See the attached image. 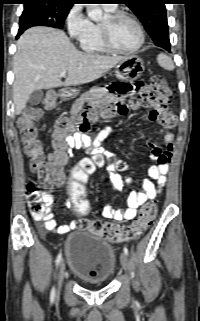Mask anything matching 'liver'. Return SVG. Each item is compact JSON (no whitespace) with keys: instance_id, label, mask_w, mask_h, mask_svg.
Listing matches in <instances>:
<instances>
[{"instance_id":"obj_1","label":"liver","mask_w":200,"mask_h":321,"mask_svg":"<svg viewBox=\"0 0 200 321\" xmlns=\"http://www.w3.org/2000/svg\"><path fill=\"white\" fill-rule=\"evenodd\" d=\"M123 59L81 52L61 30L42 26L26 30L17 41L13 59L16 114H21L34 91L90 83ZM63 71L68 73L64 82L60 79Z\"/></svg>"}]
</instances>
